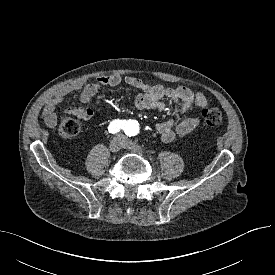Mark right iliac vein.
Instances as JSON below:
<instances>
[{
  "label": "right iliac vein",
  "mask_w": 275,
  "mask_h": 275,
  "mask_svg": "<svg viewBox=\"0 0 275 275\" xmlns=\"http://www.w3.org/2000/svg\"><path fill=\"white\" fill-rule=\"evenodd\" d=\"M122 147V140L120 137H115L111 140L109 148L112 152H118Z\"/></svg>",
  "instance_id": "right-iliac-vein-1"
}]
</instances>
